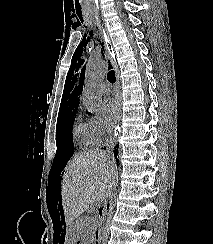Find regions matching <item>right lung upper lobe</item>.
<instances>
[{"label": "right lung upper lobe", "instance_id": "cb5924a9", "mask_svg": "<svg viewBox=\"0 0 213 244\" xmlns=\"http://www.w3.org/2000/svg\"><path fill=\"white\" fill-rule=\"evenodd\" d=\"M81 94V88L76 87L72 95L70 96L69 100H62L59 110V115L64 114L68 111L75 110L78 108L79 105V95Z\"/></svg>", "mask_w": 213, "mask_h": 244}]
</instances>
